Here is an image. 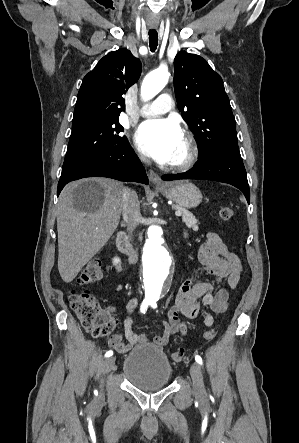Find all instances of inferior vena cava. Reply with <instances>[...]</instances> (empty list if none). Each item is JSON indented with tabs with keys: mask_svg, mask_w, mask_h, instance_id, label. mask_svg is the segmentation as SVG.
<instances>
[{
	"mask_svg": "<svg viewBox=\"0 0 299 443\" xmlns=\"http://www.w3.org/2000/svg\"><path fill=\"white\" fill-rule=\"evenodd\" d=\"M141 160L147 163L149 162L145 157H141ZM122 213L132 233L141 221L140 204L136 192L127 187H125L122 192Z\"/></svg>",
	"mask_w": 299,
	"mask_h": 443,
	"instance_id": "obj_1",
	"label": "inferior vena cava"
}]
</instances>
